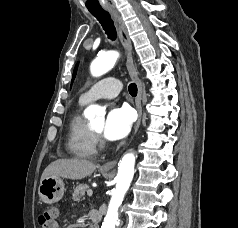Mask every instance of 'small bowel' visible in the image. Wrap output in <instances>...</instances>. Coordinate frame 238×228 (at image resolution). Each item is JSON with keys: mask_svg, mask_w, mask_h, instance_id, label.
Returning a JSON list of instances; mask_svg holds the SVG:
<instances>
[{"mask_svg": "<svg viewBox=\"0 0 238 228\" xmlns=\"http://www.w3.org/2000/svg\"><path fill=\"white\" fill-rule=\"evenodd\" d=\"M47 228H59V225H58L57 221H55L51 225H49Z\"/></svg>", "mask_w": 238, "mask_h": 228, "instance_id": "obj_1", "label": "small bowel"}]
</instances>
